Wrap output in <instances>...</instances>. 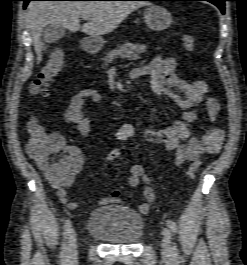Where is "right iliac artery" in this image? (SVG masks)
Instances as JSON below:
<instances>
[{
  "label": "right iliac artery",
  "mask_w": 247,
  "mask_h": 265,
  "mask_svg": "<svg viewBox=\"0 0 247 265\" xmlns=\"http://www.w3.org/2000/svg\"><path fill=\"white\" fill-rule=\"evenodd\" d=\"M70 230H71V221L67 219L64 224V231H63L64 242H63L62 251H61V258L63 261H66L68 258V249H67L68 247L66 244V239L69 235Z\"/></svg>",
  "instance_id": "1"
}]
</instances>
